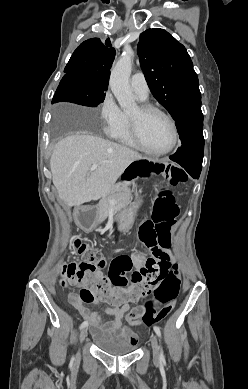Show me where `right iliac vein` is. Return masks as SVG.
Wrapping results in <instances>:
<instances>
[{
  "label": "right iliac vein",
  "mask_w": 248,
  "mask_h": 389,
  "mask_svg": "<svg viewBox=\"0 0 248 389\" xmlns=\"http://www.w3.org/2000/svg\"><path fill=\"white\" fill-rule=\"evenodd\" d=\"M86 336H87V330H86V328H83L80 332V335H79L80 344H82L84 342Z\"/></svg>",
  "instance_id": "obj_1"
}]
</instances>
